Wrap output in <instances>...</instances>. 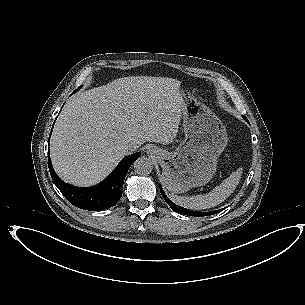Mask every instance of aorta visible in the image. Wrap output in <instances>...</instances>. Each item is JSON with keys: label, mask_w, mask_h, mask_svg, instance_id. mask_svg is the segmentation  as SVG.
<instances>
[{"label": "aorta", "mask_w": 305, "mask_h": 305, "mask_svg": "<svg viewBox=\"0 0 305 305\" xmlns=\"http://www.w3.org/2000/svg\"><path fill=\"white\" fill-rule=\"evenodd\" d=\"M134 170L139 175H148L153 171L152 161L145 157L141 156L133 164Z\"/></svg>", "instance_id": "aorta-1"}]
</instances>
